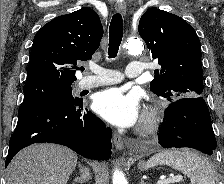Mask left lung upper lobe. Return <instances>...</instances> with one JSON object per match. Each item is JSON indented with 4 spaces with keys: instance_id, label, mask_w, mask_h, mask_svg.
<instances>
[{
    "instance_id": "obj_1",
    "label": "left lung upper lobe",
    "mask_w": 224,
    "mask_h": 184,
    "mask_svg": "<svg viewBox=\"0 0 224 184\" xmlns=\"http://www.w3.org/2000/svg\"><path fill=\"white\" fill-rule=\"evenodd\" d=\"M139 34L153 59L162 69L155 70L150 90L172 102L200 97L203 92L200 40L185 20L152 8L139 21Z\"/></svg>"
}]
</instances>
